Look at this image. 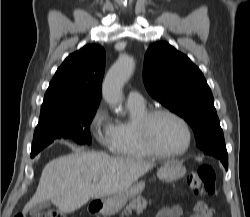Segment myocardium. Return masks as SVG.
<instances>
[{"instance_id":"f54148a6","label":"myocardium","mask_w":250,"mask_h":217,"mask_svg":"<svg viewBox=\"0 0 250 217\" xmlns=\"http://www.w3.org/2000/svg\"><path fill=\"white\" fill-rule=\"evenodd\" d=\"M160 115H167L177 120L184 128L187 141L184 148L175 152H163L160 150L152 137L151 125L153 120ZM137 132L144 147L155 157L175 158L184 155L192 144V132L188 122L178 113L168 108H153L148 110L137 122Z\"/></svg>"}]
</instances>
